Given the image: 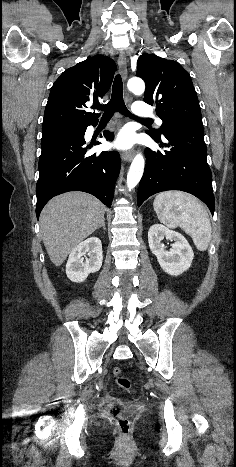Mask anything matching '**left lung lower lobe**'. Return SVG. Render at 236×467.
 <instances>
[{
  "instance_id": "obj_1",
  "label": "left lung lower lobe",
  "mask_w": 236,
  "mask_h": 467,
  "mask_svg": "<svg viewBox=\"0 0 236 467\" xmlns=\"http://www.w3.org/2000/svg\"><path fill=\"white\" fill-rule=\"evenodd\" d=\"M163 136L167 143L151 137L167 150H145L146 166L138 189V207L158 192L181 190L198 197L213 214L215 199L203 126H177L164 130Z\"/></svg>"
}]
</instances>
